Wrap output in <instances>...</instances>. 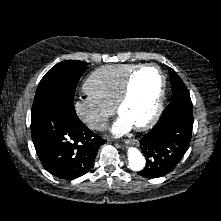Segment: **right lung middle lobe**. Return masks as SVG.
<instances>
[{
    "label": "right lung middle lobe",
    "instance_id": "1",
    "mask_svg": "<svg viewBox=\"0 0 221 221\" xmlns=\"http://www.w3.org/2000/svg\"><path fill=\"white\" fill-rule=\"evenodd\" d=\"M86 69V63L78 60L63 61L52 67L37 87L31 117L52 104L73 103L78 81Z\"/></svg>",
    "mask_w": 221,
    "mask_h": 221
}]
</instances>
